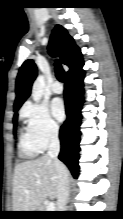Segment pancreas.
<instances>
[{
    "label": "pancreas",
    "mask_w": 123,
    "mask_h": 219,
    "mask_svg": "<svg viewBox=\"0 0 123 219\" xmlns=\"http://www.w3.org/2000/svg\"><path fill=\"white\" fill-rule=\"evenodd\" d=\"M38 211H46V206L44 204H40L38 206Z\"/></svg>",
    "instance_id": "pancreas-1"
}]
</instances>
